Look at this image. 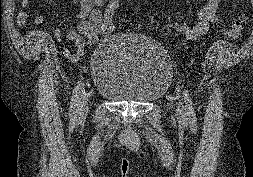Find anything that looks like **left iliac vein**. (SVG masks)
I'll list each match as a JSON object with an SVG mask.
<instances>
[{
	"mask_svg": "<svg viewBox=\"0 0 253 177\" xmlns=\"http://www.w3.org/2000/svg\"><path fill=\"white\" fill-rule=\"evenodd\" d=\"M176 115L179 119H185V108L184 106L182 105V103H177V106H176Z\"/></svg>",
	"mask_w": 253,
	"mask_h": 177,
	"instance_id": "1",
	"label": "left iliac vein"
}]
</instances>
